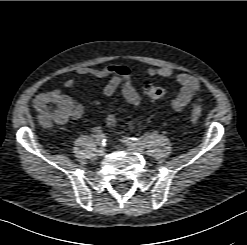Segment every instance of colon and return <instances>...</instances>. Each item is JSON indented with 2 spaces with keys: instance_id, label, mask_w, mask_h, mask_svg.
I'll return each instance as SVG.
<instances>
[{
  "instance_id": "obj_1",
  "label": "colon",
  "mask_w": 247,
  "mask_h": 245,
  "mask_svg": "<svg viewBox=\"0 0 247 245\" xmlns=\"http://www.w3.org/2000/svg\"><path fill=\"white\" fill-rule=\"evenodd\" d=\"M143 92L151 99H161L166 95L162 87L156 86L150 82L142 86ZM36 109L39 119L43 124H62L69 118L71 112L70 102L61 94L49 92L40 97L37 101ZM202 115L199 104H194L191 110V120L196 123ZM106 122L109 126L117 125V116L114 112H109L106 116Z\"/></svg>"
}]
</instances>
